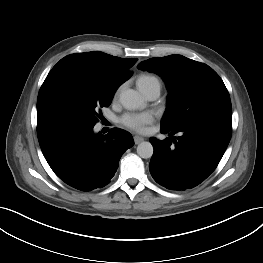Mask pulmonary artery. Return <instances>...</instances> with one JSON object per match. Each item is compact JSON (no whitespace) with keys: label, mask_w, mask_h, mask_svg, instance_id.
<instances>
[{"label":"pulmonary artery","mask_w":263,"mask_h":263,"mask_svg":"<svg viewBox=\"0 0 263 263\" xmlns=\"http://www.w3.org/2000/svg\"><path fill=\"white\" fill-rule=\"evenodd\" d=\"M139 91L148 100H156L161 93V83L158 79H152L145 82H138Z\"/></svg>","instance_id":"e3ab8cb5"}]
</instances>
